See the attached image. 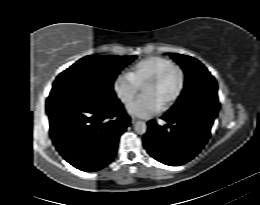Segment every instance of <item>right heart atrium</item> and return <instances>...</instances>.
<instances>
[{
    "label": "right heart atrium",
    "mask_w": 260,
    "mask_h": 205,
    "mask_svg": "<svg viewBox=\"0 0 260 205\" xmlns=\"http://www.w3.org/2000/svg\"><path fill=\"white\" fill-rule=\"evenodd\" d=\"M115 90L118 93L119 97L124 103H128L130 101V98L133 95V92H126L125 90V81L122 78H119L115 82Z\"/></svg>",
    "instance_id": "d8ad5b80"
}]
</instances>
